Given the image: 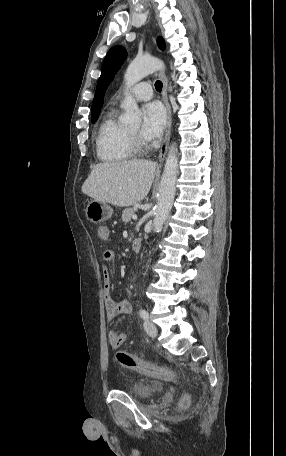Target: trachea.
Instances as JSON below:
<instances>
[{
  "mask_svg": "<svg viewBox=\"0 0 286 456\" xmlns=\"http://www.w3.org/2000/svg\"><path fill=\"white\" fill-rule=\"evenodd\" d=\"M162 86H163V84H162L161 81L158 80V81L155 82V88H156V90H157L158 92H161Z\"/></svg>",
  "mask_w": 286,
  "mask_h": 456,
  "instance_id": "1",
  "label": "trachea"
}]
</instances>
